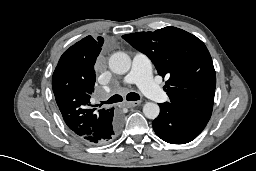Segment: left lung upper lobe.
I'll return each mask as SVG.
<instances>
[{"label":"left lung upper lobe","mask_w":256,"mask_h":171,"mask_svg":"<svg viewBox=\"0 0 256 171\" xmlns=\"http://www.w3.org/2000/svg\"><path fill=\"white\" fill-rule=\"evenodd\" d=\"M122 38L154 63L158 74L168 76L164 90L170 104L209 121L215 94L216 75L205 44L176 27L138 32Z\"/></svg>","instance_id":"obj_1"}]
</instances>
